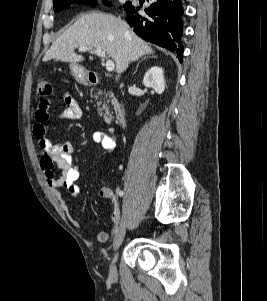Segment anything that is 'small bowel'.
<instances>
[{
	"label": "small bowel",
	"instance_id": "c3829d8e",
	"mask_svg": "<svg viewBox=\"0 0 267 301\" xmlns=\"http://www.w3.org/2000/svg\"><path fill=\"white\" fill-rule=\"evenodd\" d=\"M62 97L65 107L61 113V118L67 120L79 119L82 116V109L78 102L68 92H64ZM49 108L50 101L45 98L39 103L33 114L32 132L41 149L40 169L48 186L59 199H61V189H64L70 196L76 198L80 193L78 184L80 172L73 159L74 148L70 142L53 143L46 137L45 123L49 118ZM92 138L95 143L101 145L104 154L113 151L117 145L113 128H109L106 132H95ZM55 166L60 169V176H56L54 172ZM99 195L105 199H112L114 203L112 227L94 235V239L98 243L105 244L109 241L120 216L111 190L107 187H101ZM62 205L63 209L68 212L69 208L65 202ZM74 223L79 225L77 221H74Z\"/></svg>",
	"mask_w": 267,
	"mask_h": 301
}]
</instances>
